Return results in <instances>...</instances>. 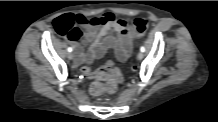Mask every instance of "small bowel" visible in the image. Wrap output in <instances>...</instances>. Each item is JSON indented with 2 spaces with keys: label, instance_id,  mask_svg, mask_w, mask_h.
<instances>
[{
  "label": "small bowel",
  "instance_id": "c3829d8e",
  "mask_svg": "<svg viewBox=\"0 0 218 122\" xmlns=\"http://www.w3.org/2000/svg\"><path fill=\"white\" fill-rule=\"evenodd\" d=\"M76 22L85 29L83 43L71 40L77 52L78 63H91L103 57L110 49L114 50L119 61H125L130 56L135 39V33L126 21L119 19L117 11L86 18L76 15ZM89 48L84 52V45Z\"/></svg>",
  "mask_w": 218,
  "mask_h": 122
}]
</instances>
